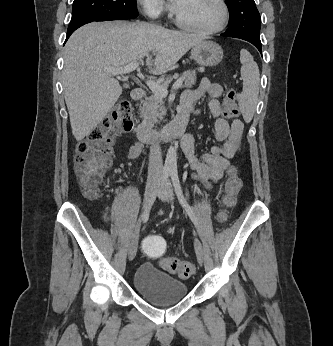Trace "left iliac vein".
Here are the masks:
<instances>
[{
	"mask_svg": "<svg viewBox=\"0 0 333 346\" xmlns=\"http://www.w3.org/2000/svg\"><path fill=\"white\" fill-rule=\"evenodd\" d=\"M158 195L161 198V200L164 202L169 203L173 200L174 195H173L172 186L169 180H167L163 186H160L158 188ZM194 248H195L197 260L200 263V265H202L204 261V251H203L202 244L198 239H195L194 241Z\"/></svg>",
	"mask_w": 333,
	"mask_h": 346,
	"instance_id": "left-iliac-vein-1",
	"label": "left iliac vein"
}]
</instances>
